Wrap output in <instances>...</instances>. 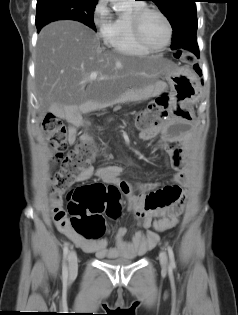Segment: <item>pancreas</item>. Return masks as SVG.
Returning <instances> with one entry per match:
<instances>
[{
  "mask_svg": "<svg viewBox=\"0 0 238 315\" xmlns=\"http://www.w3.org/2000/svg\"><path fill=\"white\" fill-rule=\"evenodd\" d=\"M140 99H142V91L135 90V91H130L126 96L115 100L113 103H119L122 100L132 101V100H140Z\"/></svg>",
  "mask_w": 238,
  "mask_h": 315,
  "instance_id": "obj_1",
  "label": "pancreas"
}]
</instances>
